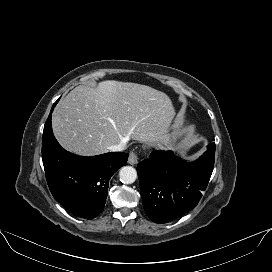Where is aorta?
<instances>
[{"instance_id": "762f6f07", "label": "aorta", "mask_w": 272, "mask_h": 272, "mask_svg": "<svg viewBox=\"0 0 272 272\" xmlns=\"http://www.w3.org/2000/svg\"><path fill=\"white\" fill-rule=\"evenodd\" d=\"M120 181L124 184H132L137 179V172L131 166H124L119 172Z\"/></svg>"}]
</instances>
